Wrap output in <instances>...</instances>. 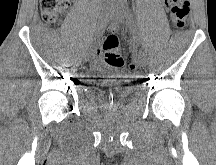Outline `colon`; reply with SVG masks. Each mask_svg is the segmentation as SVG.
<instances>
[{
  "instance_id": "colon-1",
  "label": "colon",
  "mask_w": 216,
  "mask_h": 165,
  "mask_svg": "<svg viewBox=\"0 0 216 165\" xmlns=\"http://www.w3.org/2000/svg\"><path fill=\"white\" fill-rule=\"evenodd\" d=\"M172 25L175 29L184 27L190 7L188 0H167ZM69 0H40V10L44 21L57 24L69 8ZM103 66L110 69H120L124 60L120 52L119 39L115 33L107 35L103 43ZM131 71L136 69L134 64L129 66Z\"/></svg>"
}]
</instances>
